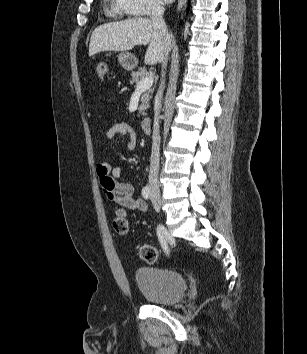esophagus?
<instances>
[{"instance_id": "1", "label": "esophagus", "mask_w": 307, "mask_h": 354, "mask_svg": "<svg viewBox=\"0 0 307 354\" xmlns=\"http://www.w3.org/2000/svg\"><path fill=\"white\" fill-rule=\"evenodd\" d=\"M186 0H178L177 10H180L182 6L185 4Z\"/></svg>"}]
</instances>
